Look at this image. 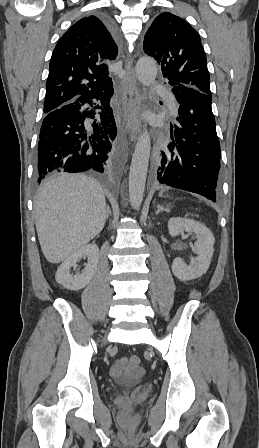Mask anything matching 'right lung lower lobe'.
<instances>
[{"instance_id":"obj_1","label":"right lung lower lobe","mask_w":259,"mask_h":448,"mask_svg":"<svg viewBox=\"0 0 259 448\" xmlns=\"http://www.w3.org/2000/svg\"><path fill=\"white\" fill-rule=\"evenodd\" d=\"M113 33L111 24L105 21ZM111 87L99 95L81 98L44 115L37 152V181L50 172H103L108 164L117 128L110 107Z\"/></svg>"}]
</instances>
